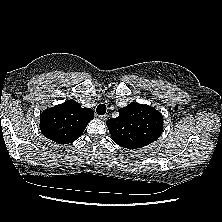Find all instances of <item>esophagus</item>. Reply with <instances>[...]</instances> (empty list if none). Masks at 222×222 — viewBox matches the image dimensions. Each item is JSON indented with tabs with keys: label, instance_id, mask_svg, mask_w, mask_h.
<instances>
[{
	"label": "esophagus",
	"instance_id": "34e87169",
	"mask_svg": "<svg viewBox=\"0 0 222 222\" xmlns=\"http://www.w3.org/2000/svg\"><path fill=\"white\" fill-rule=\"evenodd\" d=\"M98 118L99 119H101V120H106L107 118H108V115H100V116H98Z\"/></svg>",
	"mask_w": 222,
	"mask_h": 222
}]
</instances>
